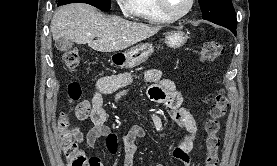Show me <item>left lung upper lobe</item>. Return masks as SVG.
<instances>
[{
  "label": "left lung upper lobe",
  "mask_w": 277,
  "mask_h": 166,
  "mask_svg": "<svg viewBox=\"0 0 277 166\" xmlns=\"http://www.w3.org/2000/svg\"><path fill=\"white\" fill-rule=\"evenodd\" d=\"M203 19L230 29L236 35V16L231 0H199Z\"/></svg>",
  "instance_id": "obj_1"
}]
</instances>
